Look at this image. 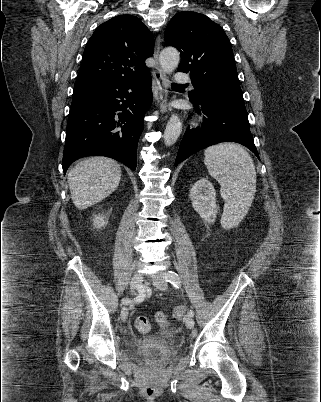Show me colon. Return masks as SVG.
Listing matches in <instances>:
<instances>
[{"label": "colon", "instance_id": "1", "mask_svg": "<svg viewBox=\"0 0 321 402\" xmlns=\"http://www.w3.org/2000/svg\"><path fill=\"white\" fill-rule=\"evenodd\" d=\"M185 308L183 306H178L173 310V318L181 319L184 316ZM159 320H165V315H158ZM135 328L140 333H147L151 329V323L149 319L145 316H139L134 321Z\"/></svg>", "mask_w": 321, "mask_h": 402}]
</instances>
